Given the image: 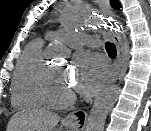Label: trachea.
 <instances>
[{"label": "trachea", "instance_id": "trachea-1", "mask_svg": "<svg viewBox=\"0 0 151 131\" xmlns=\"http://www.w3.org/2000/svg\"><path fill=\"white\" fill-rule=\"evenodd\" d=\"M105 48L110 57H116V46L113 43L107 42Z\"/></svg>", "mask_w": 151, "mask_h": 131}]
</instances>
